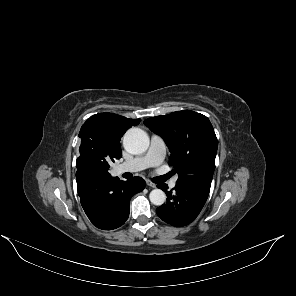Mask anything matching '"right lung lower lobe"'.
Instances as JSON below:
<instances>
[{
    "label": "right lung lower lobe",
    "instance_id": "98d812e1",
    "mask_svg": "<svg viewBox=\"0 0 296 296\" xmlns=\"http://www.w3.org/2000/svg\"><path fill=\"white\" fill-rule=\"evenodd\" d=\"M77 190L81 205L90 221L99 229L112 230L125 223L131 197L142 191L146 183L141 177L121 181L103 175L86 159L76 161Z\"/></svg>",
    "mask_w": 296,
    "mask_h": 296
}]
</instances>
